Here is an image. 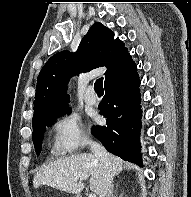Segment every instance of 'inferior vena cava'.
Listing matches in <instances>:
<instances>
[{
  "mask_svg": "<svg viewBox=\"0 0 191 197\" xmlns=\"http://www.w3.org/2000/svg\"><path fill=\"white\" fill-rule=\"evenodd\" d=\"M89 145L92 152L99 159L104 168L103 182L101 185L99 197H109L113 180L111 157L106 149L99 143L90 140Z\"/></svg>",
  "mask_w": 191,
  "mask_h": 197,
  "instance_id": "1",
  "label": "inferior vena cava"
}]
</instances>
